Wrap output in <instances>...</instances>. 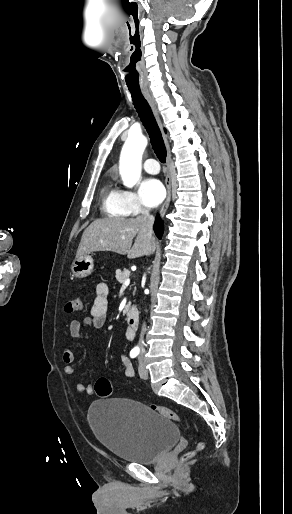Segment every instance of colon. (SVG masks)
<instances>
[{"label":"colon","mask_w":292,"mask_h":514,"mask_svg":"<svg viewBox=\"0 0 292 514\" xmlns=\"http://www.w3.org/2000/svg\"><path fill=\"white\" fill-rule=\"evenodd\" d=\"M84 309H85L84 301L80 296L72 298L66 304V311L68 313L81 312ZM94 390L101 399L109 398L112 393V385H111L110 380L105 376L99 377L95 382ZM150 408L153 412L159 414L160 416H162L165 419L172 420L174 422H182V418L180 417V415L176 411H174L170 408H167L165 406H159V405H151ZM204 448H205L204 442L202 440H198L196 442L194 448L188 450L184 454L183 459L184 460L192 459L199 452L204 450Z\"/></svg>","instance_id":"1"}]
</instances>
